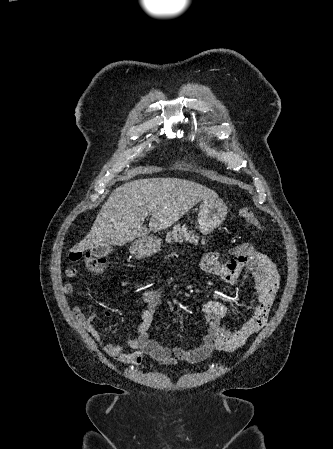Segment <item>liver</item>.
<instances>
[{
  "instance_id": "1",
  "label": "liver",
  "mask_w": 333,
  "mask_h": 449,
  "mask_svg": "<svg viewBox=\"0 0 333 449\" xmlns=\"http://www.w3.org/2000/svg\"><path fill=\"white\" fill-rule=\"evenodd\" d=\"M218 198L215 191L178 178H148L117 187L103 204L86 237L71 251L84 252L99 245L121 246L149 231H159L177 222L201 200ZM151 215L149 231L143 226Z\"/></svg>"
}]
</instances>
